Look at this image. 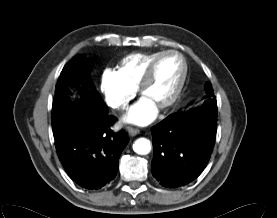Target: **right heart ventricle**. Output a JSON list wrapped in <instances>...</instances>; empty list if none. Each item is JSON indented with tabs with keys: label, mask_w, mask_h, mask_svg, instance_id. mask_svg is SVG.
Here are the masks:
<instances>
[{
	"label": "right heart ventricle",
	"mask_w": 277,
	"mask_h": 218,
	"mask_svg": "<svg viewBox=\"0 0 277 218\" xmlns=\"http://www.w3.org/2000/svg\"><path fill=\"white\" fill-rule=\"evenodd\" d=\"M160 52H136L125 56L119 63L118 73L133 88L138 85L146 68Z\"/></svg>",
	"instance_id": "right-heart-ventricle-1"
}]
</instances>
